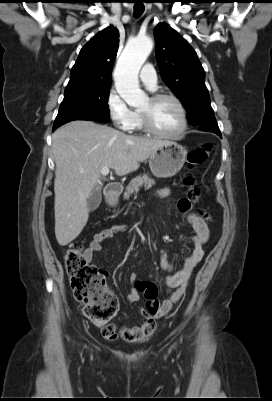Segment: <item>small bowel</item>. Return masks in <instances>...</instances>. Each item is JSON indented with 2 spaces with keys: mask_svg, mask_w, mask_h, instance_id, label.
I'll return each instance as SVG.
<instances>
[{
  "mask_svg": "<svg viewBox=\"0 0 272 401\" xmlns=\"http://www.w3.org/2000/svg\"><path fill=\"white\" fill-rule=\"evenodd\" d=\"M169 194L170 189L168 188L158 191V195L161 197H166ZM175 208L179 213L185 216L194 231L192 236L193 249L178 270H173L166 254L161 255L160 265L162 269L167 272L165 284L168 290H170L168 298L162 302L158 300L157 296L151 298L150 303L158 305L157 312L151 315H144V321L141 325L136 327H118L113 325L112 335L108 338L114 339L119 337L130 343L147 340L155 331V320L167 314L172 306L185 294L192 271L204 256L203 245L209 238L210 217L204 211H193L190 201L185 198L180 199ZM127 229L128 227L126 225H113L110 228L96 232L85 250L86 260L89 262L93 261L95 254L101 250L103 241L114 237L116 234L123 233ZM129 280L131 289L127 299L129 302L134 303L140 299L141 291L138 289V283L141 281L137 280L134 273L130 275ZM155 289L157 291V287Z\"/></svg>",
  "mask_w": 272,
  "mask_h": 401,
  "instance_id": "c3829d8e",
  "label": "small bowel"
}]
</instances>
